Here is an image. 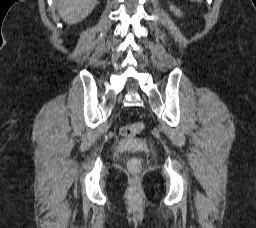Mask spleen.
Here are the masks:
<instances>
[{"mask_svg":"<svg viewBox=\"0 0 256 228\" xmlns=\"http://www.w3.org/2000/svg\"><path fill=\"white\" fill-rule=\"evenodd\" d=\"M191 1H198V2H201L202 0H191Z\"/></svg>","mask_w":256,"mask_h":228,"instance_id":"1","label":"spleen"}]
</instances>
